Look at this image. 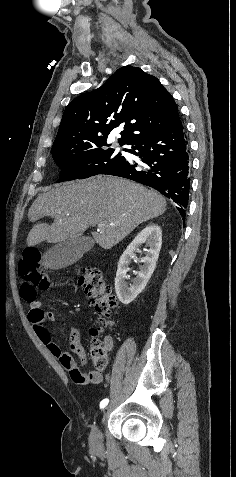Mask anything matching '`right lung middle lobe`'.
<instances>
[{
	"label": "right lung middle lobe",
	"instance_id": "obj_1",
	"mask_svg": "<svg viewBox=\"0 0 236 477\" xmlns=\"http://www.w3.org/2000/svg\"><path fill=\"white\" fill-rule=\"evenodd\" d=\"M112 153L113 149L87 148L79 152L52 155L62 169L58 182L107 174L125 162L120 153L116 156H112Z\"/></svg>",
	"mask_w": 236,
	"mask_h": 477
}]
</instances>
